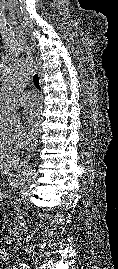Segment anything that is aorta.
Returning <instances> with one entry per match:
<instances>
[{
  "instance_id": "obj_1",
  "label": "aorta",
  "mask_w": 118,
  "mask_h": 269,
  "mask_svg": "<svg viewBox=\"0 0 118 269\" xmlns=\"http://www.w3.org/2000/svg\"><path fill=\"white\" fill-rule=\"evenodd\" d=\"M32 72V62L25 61L7 77L0 92V115L8 119H13L17 116L19 97ZM36 178V170H24L18 179L16 193L21 196L26 194L34 185Z\"/></svg>"
}]
</instances>
